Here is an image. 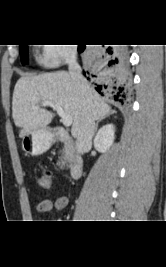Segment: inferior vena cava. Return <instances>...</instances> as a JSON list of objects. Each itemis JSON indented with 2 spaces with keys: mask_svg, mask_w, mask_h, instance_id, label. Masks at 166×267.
<instances>
[{
  "mask_svg": "<svg viewBox=\"0 0 166 267\" xmlns=\"http://www.w3.org/2000/svg\"><path fill=\"white\" fill-rule=\"evenodd\" d=\"M66 63L68 64L69 74L73 82L79 88H81L83 93L86 95L89 91V86L87 81L81 74V67L77 63V52L75 49L71 50L68 53L66 57ZM94 134H95V120L91 115L89 107V99H87L80 130L78 132L76 139V148L79 153L83 154L86 151V149L91 146Z\"/></svg>",
  "mask_w": 166,
  "mask_h": 267,
  "instance_id": "inferior-vena-cava-1",
  "label": "inferior vena cava"
}]
</instances>
